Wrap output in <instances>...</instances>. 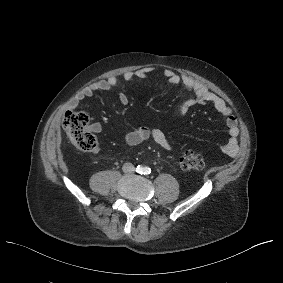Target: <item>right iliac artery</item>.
Segmentation results:
<instances>
[{"instance_id":"obj_1","label":"right iliac artery","mask_w":283,"mask_h":283,"mask_svg":"<svg viewBox=\"0 0 283 283\" xmlns=\"http://www.w3.org/2000/svg\"><path fill=\"white\" fill-rule=\"evenodd\" d=\"M136 171H137L138 173H143V168L140 167V166H138L137 169H136Z\"/></svg>"}]
</instances>
